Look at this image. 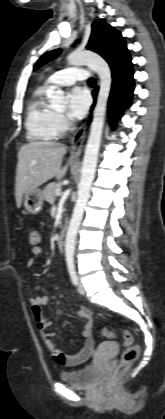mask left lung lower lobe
<instances>
[{
    "label": "left lung lower lobe",
    "mask_w": 165,
    "mask_h": 419,
    "mask_svg": "<svg viewBox=\"0 0 165 419\" xmlns=\"http://www.w3.org/2000/svg\"><path fill=\"white\" fill-rule=\"evenodd\" d=\"M112 72V89L109 97L108 113L110 123L116 122L130 105L134 91L133 64L130 53L126 50L110 65ZM98 87L93 91L96 98Z\"/></svg>",
    "instance_id": "1"
}]
</instances>
